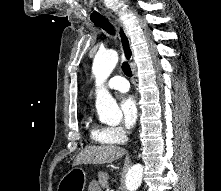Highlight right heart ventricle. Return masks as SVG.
<instances>
[{
    "instance_id": "obj_1",
    "label": "right heart ventricle",
    "mask_w": 221,
    "mask_h": 191,
    "mask_svg": "<svg viewBox=\"0 0 221 191\" xmlns=\"http://www.w3.org/2000/svg\"><path fill=\"white\" fill-rule=\"evenodd\" d=\"M90 139L99 144H111L112 142L105 136L104 128L98 126L89 127Z\"/></svg>"
}]
</instances>
